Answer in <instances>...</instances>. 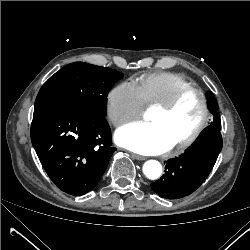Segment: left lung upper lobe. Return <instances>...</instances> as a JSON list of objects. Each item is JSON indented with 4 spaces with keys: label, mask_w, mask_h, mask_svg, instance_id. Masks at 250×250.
Masks as SVG:
<instances>
[{
    "label": "left lung upper lobe",
    "mask_w": 250,
    "mask_h": 250,
    "mask_svg": "<svg viewBox=\"0 0 250 250\" xmlns=\"http://www.w3.org/2000/svg\"><path fill=\"white\" fill-rule=\"evenodd\" d=\"M207 101H208V108L210 110V112L214 115V121L212 122V124L209 127H214L217 129H221V120L218 114V104L214 98V96L211 93H207Z\"/></svg>",
    "instance_id": "obj_1"
}]
</instances>
